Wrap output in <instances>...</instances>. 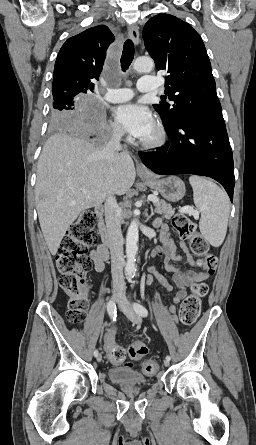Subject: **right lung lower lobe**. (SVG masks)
I'll use <instances>...</instances> for the list:
<instances>
[{
	"label": "right lung lower lobe",
	"instance_id": "obj_1",
	"mask_svg": "<svg viewBox=\"0 0 256 445\" xmlns=\"http://www.w3.org/2000/svg\"><path fill=\"white\" fill-rule=\"evenodd\" d=\"M89 117L93 125L91 132L99 134L101 136H105L108 134L109 129L105 124V116L102 110L92 109L89 113Z\"/></svg>",
	"mask_w": 256,
	"mask_h": 445
}]
</instances>
